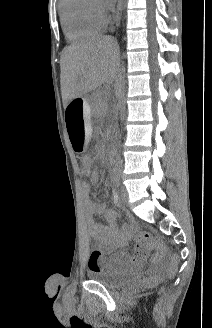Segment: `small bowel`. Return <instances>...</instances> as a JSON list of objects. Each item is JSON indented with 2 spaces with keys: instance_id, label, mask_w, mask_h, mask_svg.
Masks as SVG:
<instances>
[{
  "instance_id": "1",
  "label": "small bowel",
  "mask_w": 212,
  "mask_h": 328,
  "mask_svg": "<svg viewBox=\"0 0 212 328\" xmlns=\"http://www.w3.org/2000/svg\"><path fill=\"white\" fill-rule=\"evenodd\" d=\"M83 176L89 177L94 183L99 181V173L93 170H81ZM82 197L85 204L86 224L89 233L98 238L102 249L107 253L115 251L125 240L131 239L133 224H126L121 229L118 228L116 220L118 215L109 209L105 204H97L90 199V185L87 182L82 184ZM114 202L119 205L116 191H113ZM95 215H99L106 221L100 224L95 220ZM149 249L138 247L133 254L116 253L113 254L110 263L104 264L102 259L95 265H90L91 270H101L108 268L118 272H128L140 268L148 257Z\"/></svg>"
}]
</instances>
